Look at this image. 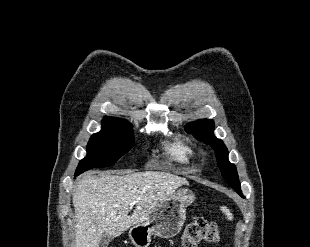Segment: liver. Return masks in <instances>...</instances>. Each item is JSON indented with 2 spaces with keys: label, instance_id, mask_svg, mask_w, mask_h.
Wrapping results in <instances>:
<instances>
[{
  "label": "liver",
  "instance_id": "liver-1",
  "mask_svg": "<svg viewBox=\"0 0 310 247\" xmlns=\"http://www.w3.org/2000/svg\"><path fill=\"white\" fill-rule=\"evenodd\" d=\"M188 181L164 171L123 176L83 175L73 193L75 247H98L103 234L117 237L147 219L152 210ZM135 209L128 215L131 203Z\"/></svg>",
  "mask_w": 310,
  "mask_h": 247
}]
</instances>
